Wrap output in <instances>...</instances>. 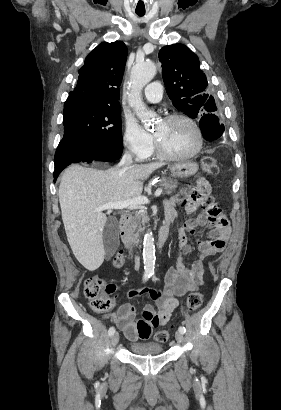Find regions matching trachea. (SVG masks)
<instances>
[{
  "label": "trachea",
  "mask_w": 281,
  "mask_h": 410,
  "mask_svg": "<svg viewBox=\"0 0 281 410\" xmlns=\"http://www.w3.org/2000/svg\"><path fill=\"white\" fill-rule=\"evenodd\" d=\"M136 14H137L138 16H141V17L145 15L144 12H142V13L137 12Z\"/></svg>",
  "instance_id": "1"
}]
</instances>
